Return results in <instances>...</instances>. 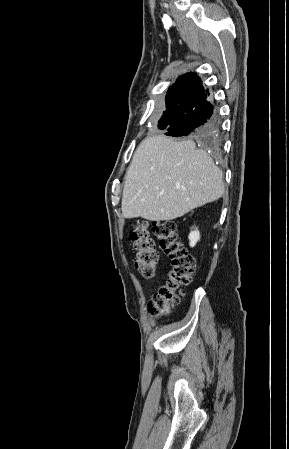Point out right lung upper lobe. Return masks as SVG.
<instances>
[{
  "instance_id": "1",
  "label": "right lung upper lobe",
  "mask_w": 289,
  "mask_h": 449,
  "mask_svg": "<svg viewBox=\"0 0 289 449\" xmlns=\"http://www.w3.org/2000/svg\"><path fill=\"white\" fill-rule=\"evenodd\" d=\"M183 76H193V77L199 78L195 73H187L186 75H182L181 77H183ZM181 77H179V79Z\"/></svg>"
}]
</instances>
